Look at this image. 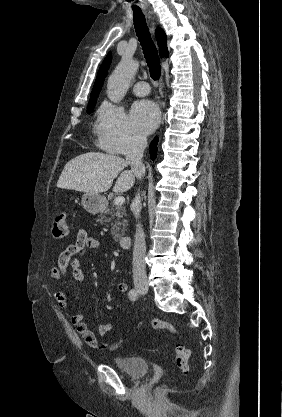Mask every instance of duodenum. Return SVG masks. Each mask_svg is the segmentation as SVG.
I'll return each instance as SVG.
<instances>
[{"label": "duodenum", "instance_id": "obj_1", "mask_svg": "<svg viewBox=\"0 0 282 417\" xmlns=\"http://www.w3.org/2000/svg\"><path fill=\"white\" fill-rule=\"evenodd\" d=\"M131 237L129 235H124L119 239V245L122 249H127L130 244Z\"/></svg>", "mask_w": 282, "mask_h": 417}]
</instances>
